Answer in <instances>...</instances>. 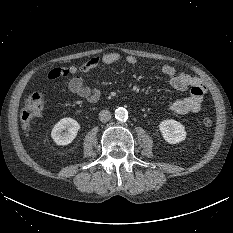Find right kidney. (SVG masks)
<instances>
[{
  "label": "right kidney",
  "mask_w": 233,
  "mask_h": 233,
  "mask_svg": "<svg viewBox=\"0 0 233 233\" xmlns=\"http://www.w3.org/2000/svg\"><path fill=\"white\" fill-rule=\"evenodd\" d=\"M80 129L79 123L73 118H63L55 124L51 137L57 145H68L76 138Z\"/></svg>",
  "instance_id": "ca27d5eb"
}]
</instances>
